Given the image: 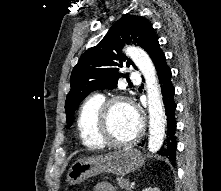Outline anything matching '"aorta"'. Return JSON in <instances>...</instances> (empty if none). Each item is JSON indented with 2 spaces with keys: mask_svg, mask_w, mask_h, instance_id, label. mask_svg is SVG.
Masks as SVG:
<instances>
[{
  "mask_svg": "<svg viewBox=\"0 0 221 191\" xmlns=\"http://www.w3.org/2000/svg\"><path fill=\"white\" fill-rule=\"evenodd\" d=\"M125 53L133 60L145 77L147 87V102L149 112V142L150 152H157L164 141L165 113L155 67L149 55L139 47H127Z\"/></svg>",
  "mask_w": 221,
  "mask_h": 191,
  "instance_id": "762f6f07",
  "label": "aorta"
}]
</instances>
